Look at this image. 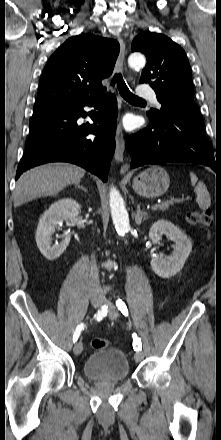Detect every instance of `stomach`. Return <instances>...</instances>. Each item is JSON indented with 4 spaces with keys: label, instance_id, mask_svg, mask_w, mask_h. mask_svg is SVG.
I'll return each mask as SVG.
<instances>
[{
    "label": "stomach",
    "instance_id": "0dacf381",
    "mask_svg": "<svg viewBox=\"0 0 221 440\" xmlns=\"http://www.w3.org/2000/svg\"><path fill=\"white\" fill-rule=\"evenodd\" d=\"M170 178L166 170L160 166H151L134 178V191L146 198L163 195L169 188Z\"/></svg>",
    "mask_w": 221,
    "mask_h": 440
}]
</instances>
